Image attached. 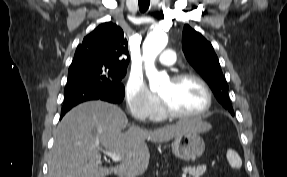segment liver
Instances as JSON below:
<instances>
[{"instance_id":"obj_1","label":"liver","mask_w":287,"mask_h":177,"mask_svg":"<svg viewBox=\"0 0 287 177\" xmlns=\"http://www.w3.org/2000/svg\"><path fill=\"white\" fill-rule=\"evenodd\" d=\"M127 123L118 106L103 101L85 102L70 110L54 132L47 177H125L128 171L142 175L150 159L145 140L167 142L188 131L211 129L210 124L194 119L153 131L132 126L122 132ZM102 148L122 156L120 164L104 167Z\"/></svg>"}]
</instances>
